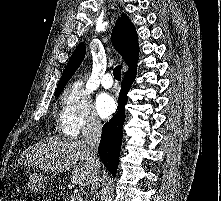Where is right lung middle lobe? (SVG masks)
<instances>
[{
	"label": "right lung middle lobe",
	"mask_w": 221,
	"mask_h": 201,
	"mask_svg": "<svg viewBox=\"0 0 221 201\" xmlns=\"http://www.w3.org/2000/svg\"><path fill=\"white\" fill-rule=\"evenodd\" d=\"M61 92H62V90H61V91H57V92H55V96L58 97V96L60 95Z\"/></svg>",
	"instance_id": "1"
}]
</instances>
